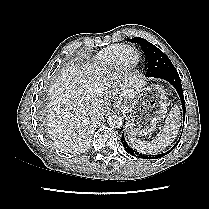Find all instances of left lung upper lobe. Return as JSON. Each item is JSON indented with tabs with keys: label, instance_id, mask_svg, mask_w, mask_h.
Instances as JSON below:
<instances>
[{
	"label": "left lung upper lobe",
	"instance_id": "obj_1",
	"mask_svg": "<svg viewBox=\"0 0 209 209\" xmlns=\"http://www.w3.org/2000/svg\"><path fill=\"white\" fill-rule=\"evenodd\" d=\"M130 41L133 43H139L146 54L148 64L146 72L147 77H154L163 71L175 69L170 59L160 49L147 40L134 37Z\"/></svg>",
	"mask_w": 209,
	"mask_h": 209
}]
</instances>
